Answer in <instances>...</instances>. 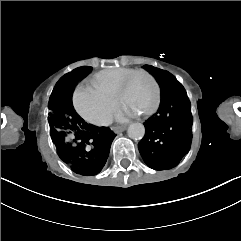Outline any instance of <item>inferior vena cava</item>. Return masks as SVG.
<instances>
[{
  "instance_id": "602c4592",
  "label": "inferior vena cava",
  "mask_w": 241,
  "mask_h": 241,
  "mask_svg": "<svg viewBox=\"0 0 241 241\" xmlns=\"http://www.w3.org/2000/svg\"><path fill=\"white\" fill-rule=\"evenodd\" d=\"M111 123H112V119H110L109 121L95 123V125H97V126H107V125H110Z\"/></svg>"
}]
</instances>
